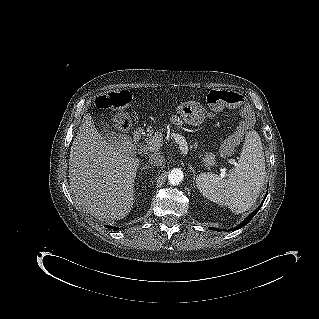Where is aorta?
Masks as SVG:
<instances>
[{"label": "aorta", "instance_id": "obj_1", "mask_svg": "<svg viewBox=\"0 0 319 319\" xmlns=\"http://www.w3.org/2000/svg\"><path fill=\"white\" fill-rule=\"evenodd\" d=\"M183 177H184L183 172L180 169H173L168 174V182L171 185H178L183 180Z\"/></svg>", "mask_w": 319, "mask_h": 319}]
</instances>
